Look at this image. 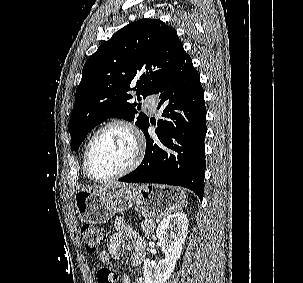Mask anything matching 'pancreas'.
Instances as JSON below:
<instances>
[{"label": "pancreas", "instance_id": "pancreas-1", "mask_svg": "<svg viewBox=\"0 0 303 283\" xmlns=\"http://www.w3.org/2000/svg\"><path fill=\"white\" fill-rule=\"evenodd\" d=\"M154 226L155 222L151 218L145 219L141 222L142 230L145 232L146 235H149L152 232Z\"/></svg>", "mask_w": 303, "mask_h": 283}]
</instances>
